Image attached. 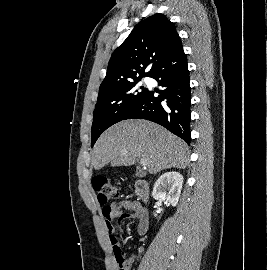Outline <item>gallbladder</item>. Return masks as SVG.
Returning <instances> with one entry per match:
<instances>
[{"mask_svg": "<svg viewBox=\"0 0 267 270\" xmlns=\"http://www.w3.org/2000/svg\"><path fill=\"white\" fill-rule=\"evenodd\" d=\"M136 175H137L138 177H143V176L145 175V173L142 172V171H136Z\"/></svg>", "mask_w": 267, "mask_h": 270, "instance_id": "1", "label": "gallbladder"}]
</instances>
